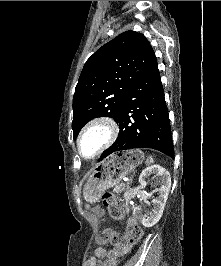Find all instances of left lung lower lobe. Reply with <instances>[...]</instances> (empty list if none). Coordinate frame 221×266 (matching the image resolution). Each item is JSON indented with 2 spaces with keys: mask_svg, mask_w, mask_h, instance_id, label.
<instances>
[{
  "mask_svg": "<svg viewBox=\"0 0 221 266\" xmlns=\"http://www.w3.org/2000/svg\"><path fill=\"white\" fill-rule=\"evenodd\" d=\"M117 123L119 135L99 161L133 148H153L174 158L169 114L158 68L131 87Z\"/></svg>",
  "mask_w": 221,
  "mask_h": 266,
  "instance_id": "1",
  "label": "left lung lower lobe"
}]
</instances>
